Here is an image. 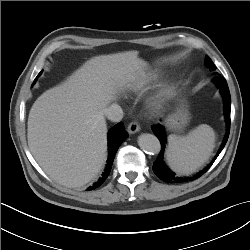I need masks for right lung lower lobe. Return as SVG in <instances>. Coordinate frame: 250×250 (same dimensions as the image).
<instances>
[{
    "label": "right lung lower lobe",
    "mask_w": 250,
    "mask_h": 250,
    "mask_svg": "<svg viewBox=\"0 0 250 250\" xmlns=\"http://www.w3.org/2000/svg\"><path fill=\"white\" fill-rule=\"evenodd\" d=\"M128 137L127 132L124 130L123 123H118L108 132V160L102 176L95 182L88 190H93L99 187L107 178L111 171L113 160L116 154L117 149L121 143Z\"/></svg>",
    "instance_id": "1"
}]
</instances>
